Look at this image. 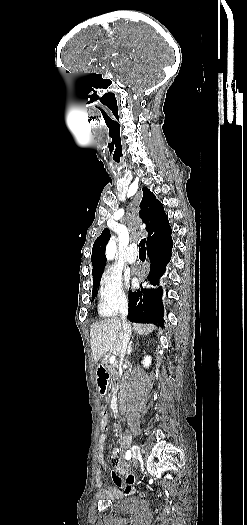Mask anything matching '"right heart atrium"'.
Returning a JSON list of instances; mask_svg holds the SVG:
<instances>
[{
  "label": "right heart atrium",
  "mask_w": 247,
  "mask_h": 525,
  "mask_svg": "<svg viewBox=\"0 0 247 525\" xmlns=\"http://www.w3.org/2000/svg\"><path fill=\"white\" fill-rule=\"evenodd\" d=\"M127 305L121 273L113 266H107L99 281L98 311L103 316L119 314Z\"/></svg>",
  "instance_id": "obj_1"
}]
</instances>
